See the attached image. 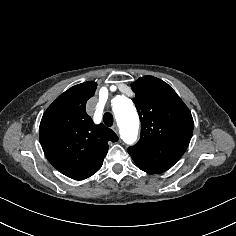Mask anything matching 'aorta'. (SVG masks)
<instances>
[{"label": "aorta", "mask_w": 236, "mask_h": 236, "mask_svg": "<svg viewBox=\"0 0 236 236\" xmlns=\"http://www.w3.org/2000/svg\"><path fill=\"white\" fill-rule=\"evenodd\" d=\"M112 109L121 138L127 144H133L138 135L139 117L132 101L124 95H118L112 100Z\"/></svg>", "instance_id": "1"}]
</instances>
